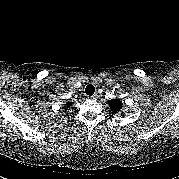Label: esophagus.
<instances>
[{"instance_id":"34e87169","label":"esophagus","mask_w":179,"mask_h":179,"mask_svg":"<svg viewBox=\"0 0 179 179\" xmlns=\"http://www.w3.org/2000/svg\"><path fill=\"white\" fill-rule=\"evenodd\" d=\"M90 98L93 99V100H95V99L98 98V95H97V94H94V95H92Z\"/></svg>"}]
</instances>
